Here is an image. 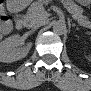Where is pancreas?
Returning a JSON list of instances; mask_svg holds the SVG:
<instances>
[{
	"label": "pancreas",
	"instance_id": "obj_1",
	"mask_svg": "<svg viewBox=\"0 0 91 91\" xmlns=\"http://www.w3.org/2000/svg\"><path fill=\"white\" fill-rule=\"evenodd\" d=\"M65 7L69 10L72 14V17L78 21V23L84 27H90V21L82 15V9L74 2L65 1ZM45 10L43 7V3L41 2H34L28 8L27 14L25 16V21L27 23L37 22L44 18Z\"/></svg>",
	"mask_w": 91,
	"mask_h": 91
}]
</instances>
